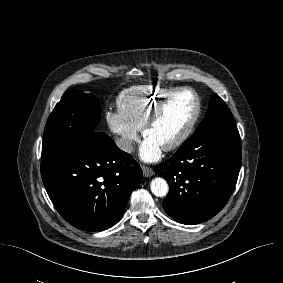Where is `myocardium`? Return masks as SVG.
Here are the masks:
<instances>
[{
	"label": "myocardium",
	"mask_w": 283,
	"mask_h": 283,
	"mask_svg": "<svg viewBox=\"0 0 283 283\" xmlns=\"http://www.w3.org/2000/svg\"><path fill=\"white\" fill-rule=\"evenodd\" d=\"M183 92H189L194 100H195V111L193 116L191 117L190 121L186 125V127L179 133V135L174 138L171 142H169L167 145L163 146L162 149L165 151H171L173 149L178 148L181 146L192 134L194 131L200 115H201V110H202V105H201V100L196 93L195 90L189 87H181V88H176L166 94L164 97H162L153 107L151 112L149 113L148 117L146 118L143 126H142V133L143 136H147V132L150 129V127L154 124V122L157 120L161 112L163 111L164 107L166 104L177 94L183 93Z\"/></svg>",
	"instance_id": "myocardium-1"
}]
</instances>
